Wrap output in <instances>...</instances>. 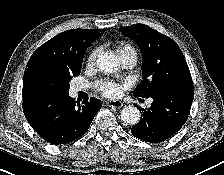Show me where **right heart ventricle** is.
<instances>
[{
    "label": "right heart ventricle",
    "instance_id": "e07e8e85",
    "mask_svg": "<svg viewBox=\"0 0 224 175\" xmlns=\"http://www.w3.org/2000/svg\"><path fill=\"white\" fill-rule=\"evenodd\" d=\"M128 51H135L134 48L127 44V43H120L118 46H117V52L118 54H122L124 52H128Z\"/></svg>",
    "mask_w": 224,
    "mask_h": 175
}]
</instances>
